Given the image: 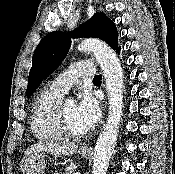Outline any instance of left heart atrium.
Returning <instances> with one entry per match:
<instances>
[{
  "instance_id": "1",
  "label": "left heart atrium",
  "mask_w": 175,
  "mask_h": 174,
  "mask_svg": "<svg viewBox=\"0 0 175 174\" xmlns=\"http://www.w3.org/2000/svg\"><path fill=\"white\" fill-rule=\"evenodd\" d=\"M76 111L79 119L87 130L97 123L101 115L99 102L92 93L88 91L80 95L76 103Z\"/></svg>"
}]
</instances>
